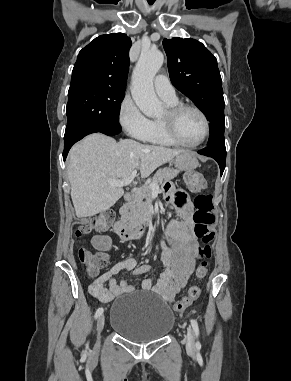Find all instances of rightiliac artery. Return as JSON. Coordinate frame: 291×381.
I'll return each instance as SVG.
<instances>
[{
	"mask_svg": "<svg viewBox=\"0 0 291 381\" xmlns=\"http://www.w3.org/2000/svg\"><path fill=\"white\" fill-rule=\"evenodd\" d=\"M103 308L102 307H100V308H98L97 309V311H96V313H95V319H97L99 316H101L102 315V313H103Z\"/></svg>",
	"mask_w": 291,
	"mask_h": 381,
	"instance_id": "82829eb1",
	"label": "right iliac artery"
}]
</instances>
